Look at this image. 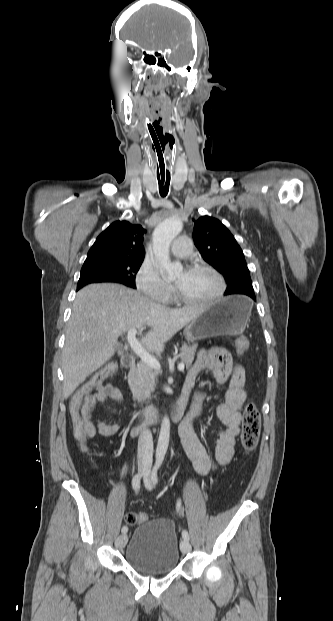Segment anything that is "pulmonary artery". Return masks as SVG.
Instances as JSON below:
<instances>
[{"mask_svg": "<svg viewBox=\"0 0 333 621\" xmlns=\"http://www.w3.org/2000/svg\"><path fill=\"white\" fill-rule=\"evenodd\" d=\"M191 241L186 236L178 237L171 246V253L179 258H185L191 254Z\"/></svg>", "mask_w": 333, "mask_h": 621, "instance_id": "pulmonary-artery-1", "label": "pulmonary artery"}]
</instances>
